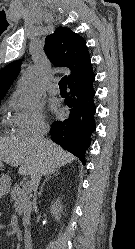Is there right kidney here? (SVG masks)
Segmentation results:
<instances>
[{"instance_id":"right-kidney-1","label":"right kidney","mask_w":135,"mask_h":249,"mask_svg":"<svg viewBox=\"0 0 135 249\" xmlns=\"http://www.w3.org/2000/svg\"><path fill=\"white\" fill-rule=\"evenodd\" d=\"M62 209H63V206H62L60 200L57 199L55 201V203L51 206V209H50L51 214L53 215V217L56 220H60Z\"/></svg>"}]
</instances>
